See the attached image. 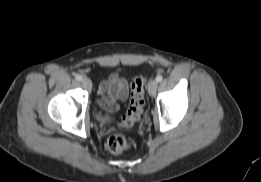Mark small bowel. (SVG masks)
<instances>
[{
  "instance_id": "small-bowel-1",
  "label": "small bowel",
  "mask_w": 261,
  "mask_h": 182,
  "mask_svg": "<svg viewBox=\"0 0 261 182\" xmlns=\"http://www.w3.org/2000/svg\"><path fill=\"white\" fill-rule=\"evenodd\" d=\"M100 106L110 112L119 110L117 101L125 102L128 99L129 88L125 78L117 73L112 74L107 80L100 82Z\"/></svg>"
}]
</instances>
